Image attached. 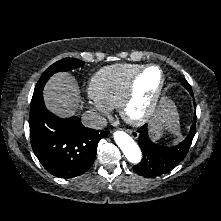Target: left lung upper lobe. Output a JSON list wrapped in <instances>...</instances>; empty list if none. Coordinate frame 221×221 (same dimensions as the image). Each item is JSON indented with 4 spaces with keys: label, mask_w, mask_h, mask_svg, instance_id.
Masks as SVG:
<instances>
[{
    "label": "left lung upper lobe",
    "mask_w": 221,
    "mask_h": 221,
    "mask_svg": "<svg viewBox=\"0 0 221 221\" xmlns=\"http://www.w3.org/2000/svg\"><path fill=\"white\" fill-rule=\"evenodd\" d=\"M182 85L185 86L190 93H193L192 89H191V86L189 85V83L186 80L182 81Z\"/></svg>",
    "instance_id": "left-lung-upper-lobe-1"
}]
</instances>
